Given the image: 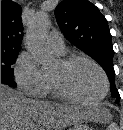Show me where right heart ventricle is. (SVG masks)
Masks as SVG:
<instances>
[{
  "label": "right heart ventricle",
  "mask_w": 123,
  "mask_h": 130,
  "mask_svg": "<svg viewBox=\"0 0 123 130\" xmlns=\"http://www.w3.org/2000/svg\"><path fill=\"white\" fill-rule=\"evenodd\" d=\"M57 53H59L60 55H65V51L64 52H57ZM46 75H47V91H46V94L48 93L55 98H60L59 94L57 93V91H56V89L53 85L50 73L46 72Z\"/></svg>",
  "instance_id": "right-heart-ventricle-1"
}]
</instances>
